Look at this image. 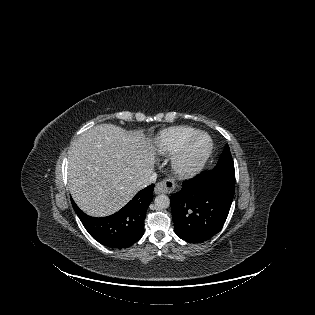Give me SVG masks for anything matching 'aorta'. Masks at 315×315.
<instances>
[{"label":"aorta","mask_w":315,"mask_h":315,"mask_svg":"<svg viewBox=\"0 0 315 315\" xmlns=\"http://www.w3.org/2000/svg\"><path fill=\"white\" fill-rule=\"evenodd\" d=\"M155 206L160 209H167L170 205V199L167 195L161 194L155 198Z\"/></svg>","instance_id":"762f6f07"}]
</instances>
